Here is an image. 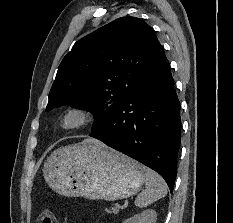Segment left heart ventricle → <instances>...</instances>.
Instances as JSON below:
<instances>
[{
    "instance_id": "1",
    "label": "left heart ventricle",
    "mask_w": 233,
    "mask_h": 223,
    "mask_svg": "<svg viewBox=\"0 0 233 223\" xmlns=\"http://www.w3.org/2000/svg\"><path fill=\"white\" fill-rule=\"evenodd\" d=\"M81 121L82 118L80 115L76 113H70L61 120L59 128L62 130L71 129L78 126L81 123Z\"/></svg>"
}]
</instances>
